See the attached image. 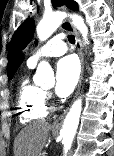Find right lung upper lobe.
Wrapping results in <instances>:
<instances>
[{"label":"right lung upper lobe","mask_w":114,"mask_h":156,"mask_svg":"<svg viewBox=\"0 0 114 156\" xmlns=\"http://www.w3.org/2000/svg\"><path fill=\"white\" fill-rule=\"evenodd\" d=\"M23 61V54H21L17 61L15 62V64L13 65L12 69H11V77H13L14 73L16 72V70L18 69V67L20 66V64Z\"/></svg>","instance_id":"cb5924a9"}]
</instances>
